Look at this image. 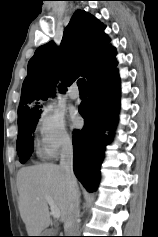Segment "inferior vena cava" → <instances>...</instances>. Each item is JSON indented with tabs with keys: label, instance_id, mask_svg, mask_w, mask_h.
I'll return each instance as SVG.
<instances>
[{
	"label": "inferior vena cava",
	"instance_id": "obj_1",
	"mask_svg": "<svg viewBox=\"0 0 158 237\" xmlns=\"http://www.w3.org/2000/svg\"><path fill=\"white\" fill-rule=\"evenodd\" d=\"M60 168L64 170L68 185V209L64 229L68 236H79V198L80 192L73 172V146L70 137L62 141L60 151Z\"/></svg>",
	"mask_w": 158,
	"mask_h": 237
}]
</instances>
